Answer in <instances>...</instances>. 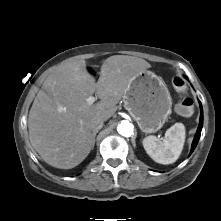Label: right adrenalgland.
Wrapping results in <instances>:
<instances>
[{
    "mask_svg": "<svg viewBox=\"0 0 221 221\" xmlns=\"http://www.w3.org/2000/svg\"><path fill=\"white\" fill-rule=\"evenodd\" d=\"M98 133V131H96V132H93V147H94V145H95V137H96V134Z\"/></svg>",
    "mask_w": 221,
    "mask_h": 221,
    "instance_id": "2a0ac1e0",
    "label": "right adrenal gland"
}]
</instances>
